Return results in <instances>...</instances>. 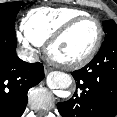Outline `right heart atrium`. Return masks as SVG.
Here are the masks:
<instances>
[{"label": "right heart atrium", "instance_id": "d8ad5b80", "mask_svg": "<svg viewBox=\"0 0 117 117\" xmlns=\"http://www.w3.org/2000/svg\"><path fill=\"white\" fill-rule=\"evenodd\" d=\"M17 37L22 45L29 51H33V42H31L26 35H23L20 31H17Z\"/></svg>", "mask_w": 117, "mask_h": 117}]
</instances>
